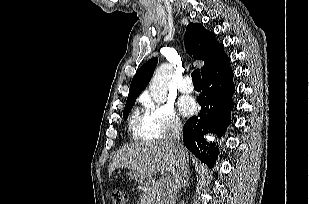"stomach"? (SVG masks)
I'll return each mask as SVG.
<instances>
[{"instance_id": "stomach-1", "label": "stomach", "mask_w": 309, "mask_h": 204, "mask_svg": "<svg viewBox=\"0 0 309 204\" xmlns=\"http://www.w3.org/2000/svg\"><path fill=\"white\" fill-rule=\"evenodd\" d=\"M127 176L131 179V180H134L144 186H147L152 178L151 176H147V175H143L139 172H136V171H132L130 170L129 172H127Z\"/></svg>"}]
</instances>
